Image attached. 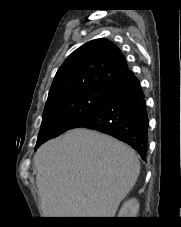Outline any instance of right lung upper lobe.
<instances>
[{
    "instance_id": "obj_1",
    "label": "right lung upper lobe",
    "mask_w": 181,
    "mask_h": 227,
    "mask_svg": "<svg viewBox=\"0 0 181 227\" xmlns=\"http://www.w3.org/2000/svg\"><path fill=\"white\" fill-rule=\"evenodd\" d=\"M129 70L119 48L107 39H95L75 50L57 71L47 105L70 95L111 88Z\"/></svg>"
}]
</instances>
